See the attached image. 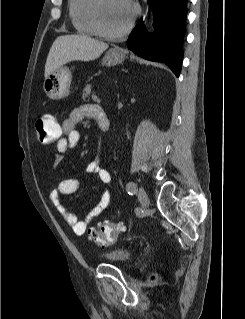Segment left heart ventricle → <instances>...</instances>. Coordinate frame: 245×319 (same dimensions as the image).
<instances>
[{
    "instance_id": "obj_1",
    "label": "left heart ventricle",
    "mask_w": 245,
    "mask_h": 319,
    "mask_svg": "<svg viewBox=\"0 0 245 319\" xmlns=\"http://www.w3.org/2000/svg\"><path fill=\"white\" fill-rule=\"evenodd\" d=\"M132 14V7L123 0H103L102 22L109 31H119L126 26Z\"/></svg>"
}]
</instances>
